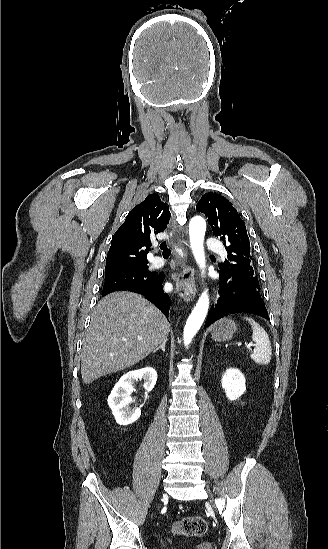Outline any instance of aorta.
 <instances>
[{
  "label": "aorta",
  "mask_w": 328,
  "mask_h": 549,
  "mask_svg": "<svg viewBox=\"0 0 328 549\" xmlns=\"http://www.w3.org/2000/svg\"><path fill=\"white\" fill-rule=\"evenodd\" d=\"M206 231V222L201 216H195L189 223L190 245L199 267L205 268L204 236ZM209 308V296L207 290L199 297L193 311L191 312L185 324L183 340L185 346H188L200 327L202 326Z\"/></svg>",
  "instance_id": "1"
}]
</instances>
